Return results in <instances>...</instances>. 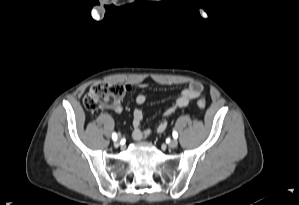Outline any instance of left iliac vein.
<instances>
[{
    "mask_svg": "<svg viewBox=\"0 0 299 205\" xmlns=\"http://www.w3.org/2000/svg\"><path fill=\"white\" fill-rule=\"evenodd\" d=\"M177 145H178V140L177 139H172L171 141H170V143H169V147L170 148H176L177 147Z\"/></svg>",
    "mask_w": 299,
    "mask_h": 205,
    "instance_id": "left-iliac-vein-1",
    "label": "left iliac vein"
}]
</instances>
